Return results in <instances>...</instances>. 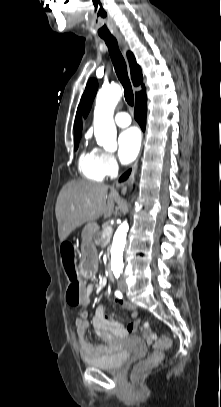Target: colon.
<instances>
[{"instance_id":"1","label":"colon","mask_w":221,"mask_h":407,"mask_svg":"<svg viewBox=\"0 0 221 407\" xmlns=\"http://www.w3.org/2000/svg\"><path fill=\"white\" fill-rule=\"evenodd\" d=\"M62 259L69 277V287L66 292V306H72L74 310H77L79 306H82L84 299V292L82 291V283L78 278L75 262L72 251L68 245H64L62 248ZM140 320L143 318L141 315L138 317ZM144 338L152 343L155 350L142 362H139L134 367V375L140 376L150 368L156 366L163 358V350L170 347L171 342L168 338H159L149 327L144 325L141 328Z\"/></svg>"}]
</instances>
